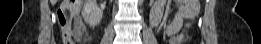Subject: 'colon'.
<instances>
[{"instance_id": "5ec220e1", "label": "colon", "mask_w": 261, "mask_h": 44, "mask_svg": "<svg viewBox=\"0 0 261 44\" xmlns=\"http://www.w3.org/2000/svg\"><path fill=\"white\" fill-rule=\"evenodd\" d=\"M186 1L189 2V3H199V1H197V0H186ZM64 3L65 4L62 7L63 14L66 13V12L72 13V10L70 8L71 1L67 0V1H64ZM65 19H67V22L66 23L64 22V24L66 25L68 23V18L65 17ZM70 19H71V17L69 18V20ZM188 27H189V25L186 24L184 26V28L172 39L171 43L172 44H183V43H185Z\"/></svg>"}]
</instances>
